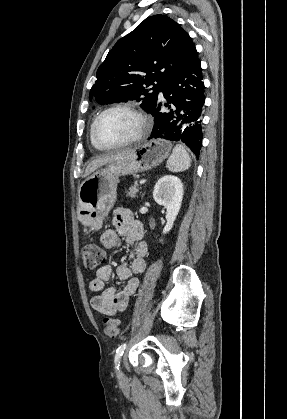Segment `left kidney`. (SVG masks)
<instances>
[{"mask_svg": "<svg viewBox=\"0 0 287 419\" xmlns=\"http://www.w3.org/2000/svg\"><path fill=\"white\" fill-rule=\"evenodd\" d=\"M182 198L183 184L178 177L165 175L155 184L153 199L167 210L165 216L167 223L163 229V234L168 233L172 229L181 208Z\"/></svg>", "mask_w": 287, "mask_h": 419, "instance_id": "obj_1", "label": "left kidney"}]
</instances>
